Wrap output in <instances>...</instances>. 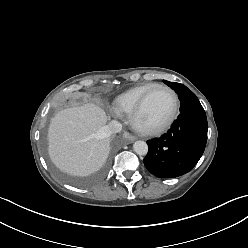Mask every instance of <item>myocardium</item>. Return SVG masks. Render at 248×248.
<instances>
[{
	"instance_id": "myocardium-1",
	"label": "myocardium",
	"mask_w": 248,
	"mask_h": 248,
	"mask_svg": "<svg viewBox=\"0 0 248 248\" xmlns=\"http://www.w3.org/2000/svg\"><path fill=\"white\" fill-rule=\"evenodd\" d=\"M164 89L166 91H168L170 93V95L172 96L173 99V108L172 111L169 115V117L166 119L165 122H163L161 125L154 127V128H144L141 127L137 120L138 117L144 107V104L148 98V96L151 94L152 91H154L155 89ZM178 109H179V100L178 97L176 95V93L174 92L173 89H171L169 86H166L164 84H156L153 87H151L150 89H148L139 99L138 103L136 104L135 108L133 109V111L131 112L130 116H129V122L131 127L139 134L144 135V136H158L162 133H164L165 131H167L172 124L174 123L177 114H178Z\"/></svg>"
}]
</instances>
